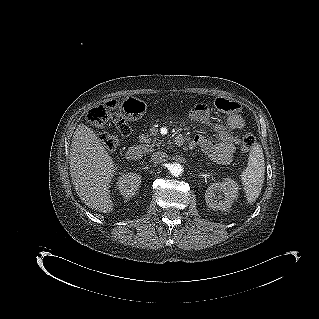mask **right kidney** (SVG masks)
Listing matches in <instances>:
<instances>
[{"label": "right kidney", "mask_w": 319, "mask_h": 319, "mask_svg": "<svg viewBox=\"0 0 319 319\" xmlns=\"http://www.w3.org/2000/svg\"><path fill=\"white\" fill-rule=\"evenodd\" d=\"M118 186H119V188L121 187V188H124L125 187V180L123 181H119L118 182ZM137 189L136 188H132L131 190H130V192H126V191H124V194L126 195V197H129V195H134L135 194V191H136Z\"/></svg>", "instance_id": "ca27d5eb"}]
</instances>
